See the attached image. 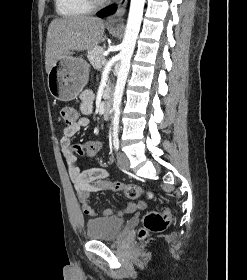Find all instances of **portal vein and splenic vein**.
<instances>
[{"label":"portal vein and splenic vein","instance_id":"portal-vein-and-splenic-vein-1","mask_svg":"<svg viewBox=\"0 0 247 280\" xmlns=\"http://www.w3.org/2000/svg\"><path fill=\"white\" fill-rule=\"evenodd\" d=\"M102 64L105 65L106 64V59L102 61Z\"/></svg>","mask_w":247,"mask_h":280}]
</instances>
